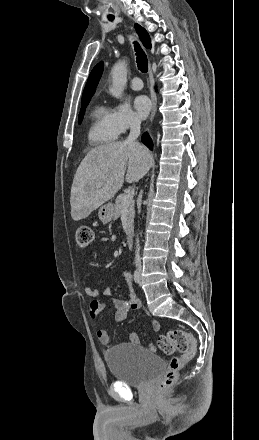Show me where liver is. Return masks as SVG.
<instances>
[{"instance_id": "1", "label": "liver", "mask_w": 259, "mask_h": 440, "mask_svg": "<svg viewBox=\"0 0 259 440\" xmlns=\"http://www.w3.org/2000/svg\"><path fill=\"white\" fill-rule=\"evenodd\" d=\"M151 164L150 152L140 144L117 141L93 148L74 176L70 197L72 219L88 217L114 197L124 180L132 183L144 177Z\"/></svg>"}]
</instances>
